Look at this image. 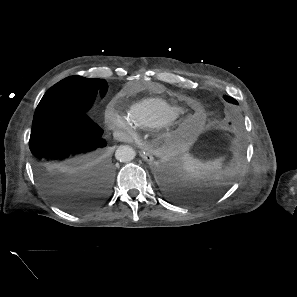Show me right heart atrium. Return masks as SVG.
<instances>
[{
    "label": "right heart atrium",
    "mask_w": 297,
    "mask_h": 297,
    "mask_svg": "<svg viewBox=\"0 0 297 297\" xmlns=\"http://www.w3.org/2000/svg\"><path fill=\"white\" fill-rule=\"evenodd\" d=\"M107 121L113 129L122 131L126 136H137L135 126L128 116L121 114L113 107H109L107 109Z\"/></svg>",
    "instance_id": "d8ad5b80"
}]
</instances>
